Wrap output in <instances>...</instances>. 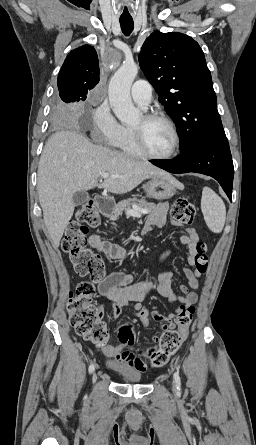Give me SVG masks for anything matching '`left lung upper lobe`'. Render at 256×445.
I'll use <instances>...</instances> for the list:
<instances>
[{"label": "left lung upper lobe", "mask_w": 256, "mask_h": 445, "mask_svg": "<svg viewBox=\"0 0 256 445\" xmlns=\"http://www.w3.org/2000/svg\"><path fill=\"white\" fill-rule=\"evenodd\" d=\"M141 69L177 125L181 151L198 139L225 135L204 53L191 37L152 33L139 55Z\"/></svg>", "instance_id": "5c2ea615"}]
</instances>
